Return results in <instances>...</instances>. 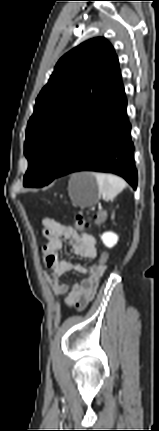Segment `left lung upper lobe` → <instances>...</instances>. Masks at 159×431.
<instances>
[{
	"label": "left lung upper lobe",
	"instance_id": "obj_1",
	"mask_svg": "<svg viewBox=\"0 0 159 431\" xmlns=\"http://www.w3.org/2000/svg\"><path fill=\"white\" fill-rule=\"evenodd\" d=\"M122 86L118 58L105 38L90 39L61 57L28 121L24 186L42 187L55 178L77 133ZM43 165L51 168L42 171Z\"/></svg>",
	"mask_w": 159,
	"mask_h": 431
}]
</instances>
